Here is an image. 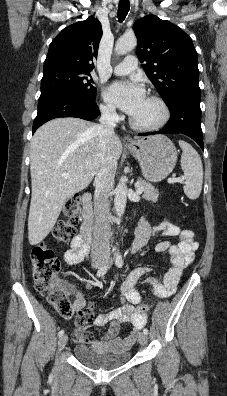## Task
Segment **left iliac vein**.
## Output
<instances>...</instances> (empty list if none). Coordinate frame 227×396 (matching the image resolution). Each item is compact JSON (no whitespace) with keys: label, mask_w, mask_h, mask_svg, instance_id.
<instances>
[{"label":"left iliac vein","mask_w":227,"mask_h":396,"mask_svg":"<svg viewBox=\"0 0 227 396\" xmlns=\"http://www.w3.org/2000/svg\"><path fill=\"white\" fill-rule=\"evenodd\" d=\"M148 337L144 333H140L138 337V341L141 345H145L147 343Z\"/></svg>","instance_id":"obj_1"}]
</instances>
